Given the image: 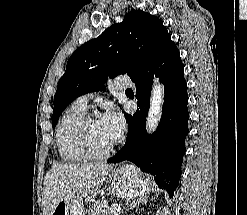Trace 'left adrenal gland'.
I'll return each mask as SVG.
<instances>
[{
	"label": "left adrenal gland",
	"mask_w": 247,
	"mask_h": 215,
	"mask_svg": "<svg viewBox=\"0 0 247 215\" xmlns=\"http://www.w3.org/2000/svg\"><path fill=\"white\" fill-rule=\"evenodd\" d=\"M146 200H147L146 197H140L137 200L132 201L130 204V210H132L133 208H135L137 205H139L141 203H145Z\"/></svg>",
	"instance_id": "left-adrenal-gland-1"
}]
</instances>
